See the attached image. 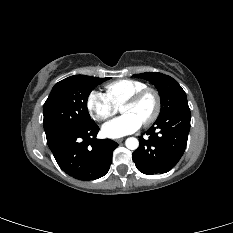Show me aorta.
<instances>
[{
  "label": "aorta",
  "instance_id": "obj_1",
  "mask_svg": "<svg viewBox=\"0 0 233 233\" xmlns=\"http://www.w3.org/2000/svg\"><path fill=\"white\" fill-rule=\"evenodd\" d=\"M125 145L130 150H136L139 146V141H138V139H136L134 137H129L126 139Z\"/></svg>",
  "mask_w": 233,
  "mask_h": 233
}]
</instances>
